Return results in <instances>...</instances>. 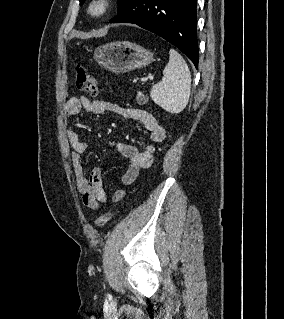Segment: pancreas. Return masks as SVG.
I'll return each instance as SVG.
<instances>
[{"mask_svg": "<svg viewBox=\"0 0 284 319\" xmlns=\"http://www.w3.org/2000/svg\"><path fill=\"white\" fill-rule=\"evenodd\" d=\"M137 102L139 105L146 104L148 102V97L142 94L141 92H138Z\"/></svg>", "mask_w": 284, "mask_h": 319, "instance_id": "1", "label": "pancreas"}]
</instances>
